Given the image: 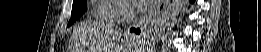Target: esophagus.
Instances as JSON below:
<instances>
[{
	"instance_id": "esophagus-1",
	"label": "esophagus",
	"mask_w": 261,
	"mask_h": 52,
	"mask_svg": "<svg viewBox=\"0 0 261 52\" xmlns=\"http://www.w3.org/2000/svg\"><path fill=\"white\" fill-rule=\"evenodd\" d=\"M169 0H161L158 2L156 8L151 11L148 15L142 17L127 30V34L132 38L139 39L146 35L149 28L153 25L158 16L165 10Z\"/></svg>"
}]
</instances>
